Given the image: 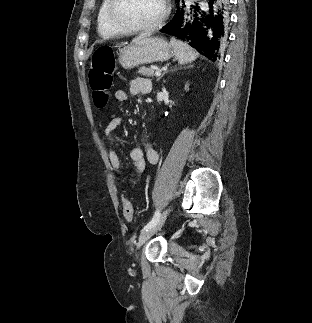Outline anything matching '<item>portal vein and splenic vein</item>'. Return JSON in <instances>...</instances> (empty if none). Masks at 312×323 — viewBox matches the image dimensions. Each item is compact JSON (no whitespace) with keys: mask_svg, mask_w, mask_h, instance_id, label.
Returning <instances> with one entry per match:
<instances>
[{"mask_svg":"<svg viewBox=\"0 0 312 323\" xmlns=\"http://www.w3.org/2000/svg\"><path fill=\"white\" fill-rule=\"evenodd\" d=\"M155 76H158V78H159V76H161V72H159V70H158V72H155Z\"/></svg>","mask_w":312,"mask_h":323,"instance_id":"portal-vein-and-splenic-vein-1","label":"portal vein and splenic vein"}]
</instances>
